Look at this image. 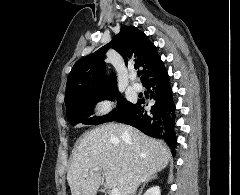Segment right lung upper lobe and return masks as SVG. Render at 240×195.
<instances>
[{
  "instance_id": "right-lung-upper-lobe-1",
  "label": "right lung upper lobe",
  "mask_w": 240,
  "mask_h": 195,
  "mask_svg": "<svg viewBox=\"0 0 240 195\" xmlns=\"http://www.w3.org/2000/svg\"><path fill=\"white\" fill-rule=\"evenodd\" d=\"M109 48H114L126 64L129 63L135 69H142L143 86L165 70L157 48L148 37L134 26H125L114 36L112 42L74 64L66 85V105L79 98L99 97L118 92L116 77L111 75L106 79L103 71L105 53Z\"/></svg>"
}]
</instances>
